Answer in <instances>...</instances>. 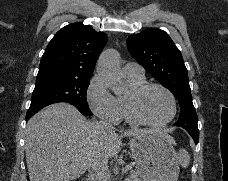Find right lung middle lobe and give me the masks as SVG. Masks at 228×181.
Returning a JSON list of instances; mask_svg holds the SVG:
<instances>
[{
	"label": "right lung middle lobe",
	"mask_w": 228,
	"mask_h": 181,
	"mask_svg": "<svg viewBox=\"0 0 228 181\" xmlns=\"http://www.w3.org/2000/svg\"><path fill=\"white\" fill-rule=\"evenodd\" d=\"M90 79H77L61 75L37 77L30 108L67 102L74 105L83 115L92 116L86 92Z\"/></svg>",
	"instance_id": "dd1d6c3e"
}]
</instances>
